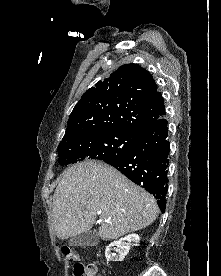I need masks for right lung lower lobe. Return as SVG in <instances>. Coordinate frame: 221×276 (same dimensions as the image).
Wrapping results in <instances>:
<instances>
[{
    "mask_svg": "<svg viewBox=\"0 0 221 276\" xmlns=\"http://www.w3.org/2000/svg\"><path fill=\"white\" fill-rule=\"evenodd\" d=\"M167 120H157L144 134L138 136L134 147L106 163L112 165L156 199L161 212L166 208L170 143Z\"/></svg>",
    "mask_w": 221,
    "mask_h": 276,
    "instance_id": "1",
    "label": "right lung lower lobe"
}]
</instances>
